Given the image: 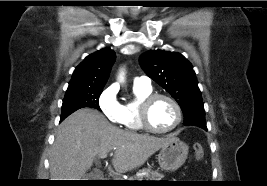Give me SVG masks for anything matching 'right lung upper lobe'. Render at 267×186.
Returning a JSON list of instances; mask_svg holds the SVG:
<instances>
[{
  "instance_id": "cb5924a9",
  "label": "right lung upper lobe",
  "mask_w": 267,
  "mask_h": 186,
  "mask_svg": "<svg viewBox=\"0 0 267 186\" xmlns=\"http://www.w3.org/2000/svg\"><path fill=\"white\" fill-rule=\"evenodd\" d=\"M114 61L115 52L109 48H103L87 56L75 68L67 90L103 89Z\"/></svg>"
}]
</instances>
